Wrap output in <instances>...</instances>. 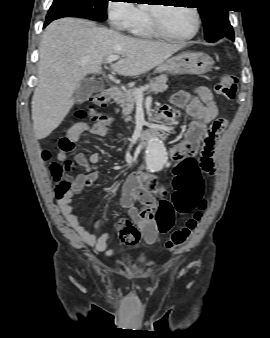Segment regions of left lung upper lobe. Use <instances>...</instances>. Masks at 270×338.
Segmentation results:
<instances>
[{
  "instance_id": "1",
  "label": "left lung upper lobe",
  "mask_w": 270,
  "mask_h": 338,
  "mask_svg": "<svg viewBox=\"0 0 270 338\" xmlns=\"http://www.w3.org/2000/svg\"><path fill=\"white\" fill-rule=\"evenodd\" d=\"M199 2L198 10L204 23L205 39L208 42H215L226 36L234 40L228 11L222 7L224 0H199Z\"/></svg>"
}]
</instances>
